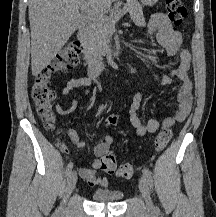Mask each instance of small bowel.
I'll return each instance as SVG.
<instances>
[{"mask_svg": "<svg viewBox=\"0 0 216 217\" xmlns=\"http://www.w3.org/2000/svg\"><path fill=\"white\" fill-rule=\"evenodd\" d=\"M148 34L155 35L158 44L165 49L167 56L178 58L179 60L178 67L173 69L169 74L163 75L160 78V83L169 86L174 84L175 79H179L180 84L176 96L177 108L173 114L161 119L151 118L147 121L146 125L142 124L141 119L137 114L143 98V91H139L134 96L130 104L128 115L131 125L139 136H144L148 133L154 134L160 128H170L176 123L183 122L190 112L193 100V83L189 75L192 58L190 52L183 46L182 34L173 29L170 20L163 13L152 15L148 23ZM90 82L91 79L88 76L72 78L67 81L61 89V94L70 98L71 106L64 107L58 105V112L63 115L68 114L75 103L72 92L87 87ZM88 93L89 92L86 91V94ZM66 133L77 148L82 149L86 146L85 142L80 139V136L75 129L68 128ZM113 143L114 139L110 135L100 138L93 147L95 158L92 161L91 167L80 170L81 178L90 186H97L103 189L108 187L109 180L105 177H98L96 172L100 169L101 160L107 153H109L110 147Z\"/></svg>", "mask_w": 216, "mask_h": 217, "instance_id": "small-bowel-1", "label": "small bowel"}]
</instances>
